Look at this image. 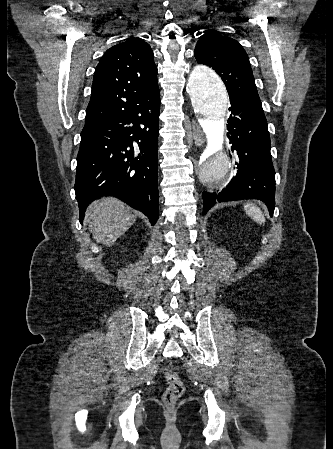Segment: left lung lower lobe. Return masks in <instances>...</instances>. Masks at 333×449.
<instances>
[{
    "label": "left lung lower lobe",
    "instance_id": "left-lung-lower-lobe-1",
    "mask_svg": "<svg viewBox=\"0 0 333 449\" xmlns=\"http://www.w3.org/2000/svg\"><path fill=\"white\" fill-rule=\"evenodd\" d=\"M231 115L227 129L234 151L235 176L221 191L202 193L203 214L216 201L259 199L270 215L275 207V171L270 154V136L263 110L248 105L238 97H230Z\"/></svg>",
    "mask_w": 333,
    "mask_h": 449
}]
</instances>
